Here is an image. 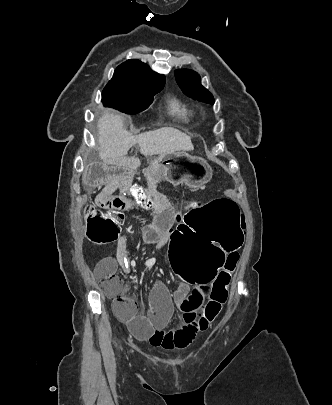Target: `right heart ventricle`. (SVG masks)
<instances>
[{
	"instance_id": "e07e8e85",
	"label": "right heart ventricle",
	"mask_w": 332,
	"mask_h": 405,
	"mask_svg": "<svg viewBox=\"0 0 332 405\" xmlns=\"http://www.w3.org/2000/svg\"><path fill=\"white\" fill-rule=\"evenodd\" d=\"M168 105L170 112L179 118L188 120L195 115V110L192 107L175 97L169 100Z\"/></svg>"
}]
</instances>
